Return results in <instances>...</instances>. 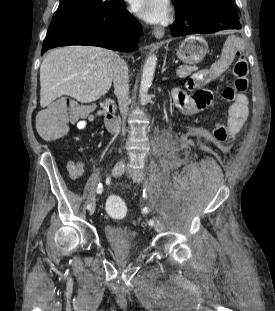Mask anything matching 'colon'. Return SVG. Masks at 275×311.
I'll list each match as a JSON object with an SVG mask.
<instances>
[{
	"label": "colon",
	"mask_w": 275,
	"mask_h": 311,
	"mask_svg": "<svg viewBox=\"0 0 275 311\" xmlns=\"http://www.w3.org/2000/svg\"><path fill=\"white\" fill-rule=\"evenodd\" d=\"M233 72L235 80L222 92L223 98L227 101L233 100L237 93L246 91L248 87V65L244 57H238L234 64ZM77 116L73 102L59 100L38 115V131L45 139L59 138L65 134L68 123ZM106 208L113 217L123 216L126 212L124 202L114 196L108 198Z\"/></svg>",
	"instance_id": "1"
}]
</instances>
